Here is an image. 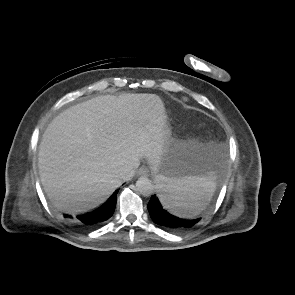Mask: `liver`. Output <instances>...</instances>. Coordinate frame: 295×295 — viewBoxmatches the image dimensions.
<instances>
[{"mask_svg": "<svg viewBox=\"0 0 295 295\" xmlns=\"http://www.w3.org/2000/svg\"><path fill=\"white\" fill-rule=\"evenodd\" d=\"M167 118L155 94L103 95L60 113L38 154L48 198L68 213L105 202L142 158L158 165L171 139Z\"/></svg>", "mask_w": 295, "mask_h": 295, "instance_id": "obj_1", "label": "liver"}]
</instances>
